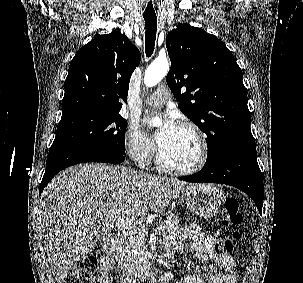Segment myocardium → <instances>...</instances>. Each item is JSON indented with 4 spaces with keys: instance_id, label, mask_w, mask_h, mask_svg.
<instances>
[{
    "instance_id": "obj_1",
    "label": "myocardium",
    "mask_w": 303,
    "mask_h": 283,
    "mask_svg": "<svg viewBox=\"0 0 303 283\" xmlns=\"http://www.w3.org/2000/svg\"><path fill=\"white\" fill-rule=\"evenodd\" d=\"M180 128L188 129L194 133L199 144V157L196 163L187 168H177L169 165L164 160L161 149L157 151V164L165 172L178 175V176H188L200 171L206 164L209 155V146L207 138L201 128L193 122L184 121L180 123Z\"/></svg>"
}]
</instances>
